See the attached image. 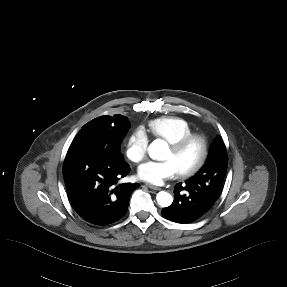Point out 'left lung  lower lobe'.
I'll return each mask as SVG.
<instances>
[{"instance_id": "left-lung-lower-lobe-1", "label": "left lung lower lobe", "mask_w": 287, "mask_h": 287, "mask_svg": "<svg viewBox=\"0 0 287 287\" xmlns=\"http://www.w3.org/2000/svg\"><path fill=\"white\" fill-rule=\"evenodd\" d=\"M185 193V194H184ZM173 203L162 209V215L177 223H190L203 216L214 204L218 195L205 194L193 184L178 183L174 187Z\"/></svg>"}]
</instances>
